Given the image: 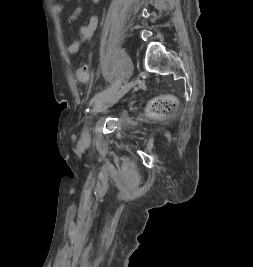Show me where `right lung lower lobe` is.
Listing matches in <instances>:
<instances>
[{
    "mask_svg": "<svg viewBox=\"0 0 253 267\" xmlns=\"http://www.w3.org/2000/svg\"><path fill=\"white\" fill-rule=\"evenodd\" d=\"M158 214V211L157 210H150V217L154 216V215H157Z\"/></svg>",
    "mask_w": 253,
    "mask_h": 267,
    "instance_id": "98d812e1",
    "label": "right lung lower lobe"
}]
</instances>
